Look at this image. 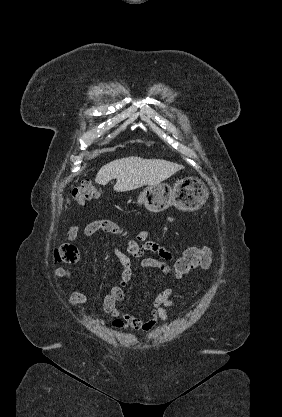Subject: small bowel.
Returning <instances> with one entry per match:
<instances>
[{
	"label": "small bowel",
	"mask_w": 282,
	"mask_h": 417,
	"mask_svg": "<svg viewBox=\"0 0 282 417\" xmlns=\"http://www.w3.org/2000/svg\"><path fill=\"white\" fill-rule=\"evenodd\" d=\"M168 223H175L174 216L166 218ZM84 235L92 236L96 233H105L110 235L127 236L126 231L117 222L110 219H98L89 222L84 230ZM80 234V227L72 225L66 234L70 241H75ZM149 232L141 231L134 238H129L127 252L116 247L114 254L121 264L123 270L119 283L112 287L109 293L104 296L103 305L105 311L113 317V327L115 329H125L128 331H138L146 334L151 332L158 322L167 319V309L171 306L173 300L178 296L177 292L172 289H165L159 292L153 300L150 316L142 320L132 314L125 313L118 306L123 299V288L131 281L133 277L132 258L140 259V266L143 268L157 269L163 272H171V266L168 262L173 260L172 253L157 242L148 240ZM145 252L157 254L162 260L153 257H144ZM56 278L75 280L77 275L70 269L57 267L53 271ZM89 296L86 293L75 291L69 296V304L72 306L80 305L87 302Z\"/></svg>",
	"instance_id": "small-bowel-1"
}]
</instances>
